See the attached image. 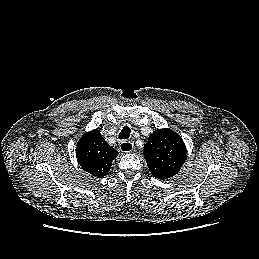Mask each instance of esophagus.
Instances as JSON below:
<instances>
[{"label":"esophagus","instance_id":"obj_1","mask_svg":"<svg viewBox=\"0 0 259 259\" xmlns=\"http://www.w3.org/2000/svg\"><path fill=\"white\" fill-rule=\"evenodd\" d=\"M119 150L123 153H130L134 150V144L131 141H122L119 144Z\"/></svg>","mask_w":259,"mask_h":259}]
</instances>
